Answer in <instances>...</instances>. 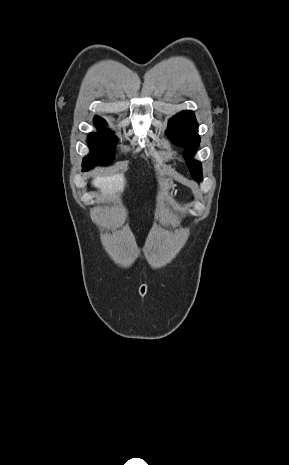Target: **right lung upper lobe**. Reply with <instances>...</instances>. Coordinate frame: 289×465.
Returning a JSON list of instances; mask_svg holds the SVG:
<instances>
[{
    "label": "right lung upper lobe",
    "instance_id": "1",
    "mask_svg": "<svg viewBox=\"0 0 289 465\" xmlns=\"http://www.w3.org/2000/svg\"><path fill=\"white\" fill-rule=\"evenodd\" d=\"M94 123H95L97 129H104L103 128V125L105 124L104 119H102L100 117H95Z\"/></svg>",
    "mask_w": 289,
    "mask_h": 465
}]
</instances>
